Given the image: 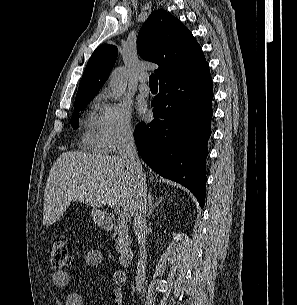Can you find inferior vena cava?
<instances>
[{"mask_svg": "<svg viewBox=\"0 0 297 305\" xmlns=\"http://www.w3.org/2000/svg\"><path fill=\"white\" fill-rule=\"evenodd\" d=\"M120 156L125 160L129 171L135 181L132 211L134 216V230L139 243L140 257L136 271V291L141 293L144 289L146 278L147 251L145 249L147 237L146 206L147 185L142 171V165L138 158L135 140L131 129H125L121 135Z\"/></svg>", "mask_w": 297, "mask_h": 305, "instance_id": "602c4592", "label": "inferior vena cava"}]
</instances>
